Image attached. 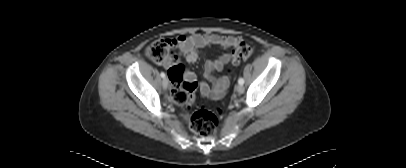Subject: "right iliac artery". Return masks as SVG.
<instances>
[{"instance_id": "obj_1", "label": "right iliac artery", "mask_w": 406, "mask_h": 168, "mask_svg": "<svg viewBox=\"0 0 406 168\" xmlns=\"http://www.w3.org/2000/svg\"><path fill=\"white\" fill-rule=\"evenodd\" d=\"M160 75H161V77H162V78H164V77H165V73H164V72H161V74H160Z\"/></svg>"}]
</instances>
